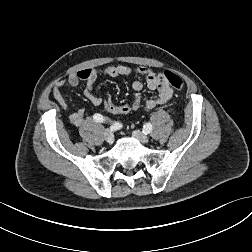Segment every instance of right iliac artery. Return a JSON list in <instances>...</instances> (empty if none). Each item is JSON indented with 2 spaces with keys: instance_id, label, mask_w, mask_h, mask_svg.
<instances>
[{
  "instance_id": "82829eb1",
  "label": "right iliac artery",
  "mask_w": 252,
  "mask_h": 252,
  "mask_svg": "<svg viewBox=\"0 0 252 252\" xmlns=\"http://www.w3.org/2000/svg\"><path fill=\"white\" fill-rule=\"evenodd\" d=\"M93 119L96 122H104L105 121V119L103 118V116L100 115V114H94ZM113 124L116 125V126H121L122 127V124L119 123V122H114Z\"/></svg>"
}]
</instances>
